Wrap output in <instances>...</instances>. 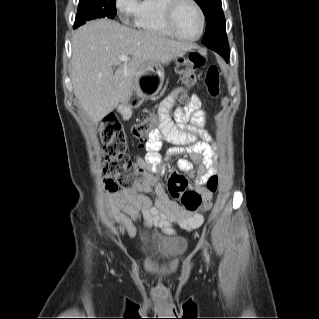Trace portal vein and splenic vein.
<instances>
[{"instance_id": "18ae733b", "label": "portal vein and splenic vein", "mask_w": 319, "mask_h": 319, "mask_svg": "<svg viewBox=\"0 0 319 319\" xmlns=\"http://www.w3.org/2000/svg\"><path fill=\"white\" fill-rule=\"evenodd\" d=\"M118 59H119L120 61H127L129 58H128L127 55H119V56H118Z\"/></svg>"}]
</instances>
